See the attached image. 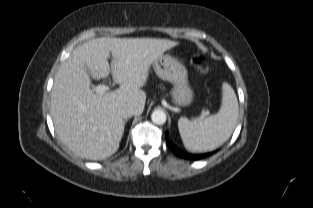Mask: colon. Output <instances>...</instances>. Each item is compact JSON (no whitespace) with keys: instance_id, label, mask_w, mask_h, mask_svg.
<instances>
[{"instance_id":"5ec220e1","label":"colon","mask_w":313,"mask_h":208,"mask_svg":"<svg viewBox=\"0 0 313 208\" xmlns=\"http://www.w3.org/2000/svg\"><path fill=\"white\" fill-rule=\"evenodd\" d=\"M192 61L193 64L198 68V70L204 74L208 73L211 70L206 58L200 54L193 55Z\"/></svg>"}]
</instances>
